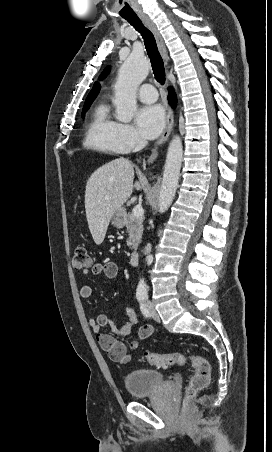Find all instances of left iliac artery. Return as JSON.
Segmentation results:
<instances>
[{"mask_svg": "<svg viewBox=\"0 0 272 452\" xmlns=\"http://www.w3.org/2000/svg\"><path fill=\"white\" fill-rule=\"evenodd\" d=\"M140 308H141V311L144 314V316L148 317L149 316V311L147 310L146 305L144 303H141Z\"/></svg>", "mask_w": 272, "mask_h": 452, "instance_id": "1", "label": "left iliac artery"}]
</instances>
